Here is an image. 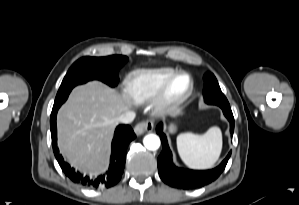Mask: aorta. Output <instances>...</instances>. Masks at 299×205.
Returning a JSON list of instances; mask_svg holds the SVG:
<instances>
[{
  "label": "aorta",
  "instance_id": "1",
  "mask_svg": "<svg viewBox=\"0 0 299 205\" xmlns=\"http://www.w3.org/2000/svg\"><path fill=\"white\" fill-rule=\"evenodd\" d=\"M160 139L155 134H148L143 139V144L148 150H157L160 147Z\"/></svg>",
  "mask_w": 299,
  "mask_h": 205
}]
</instances>
